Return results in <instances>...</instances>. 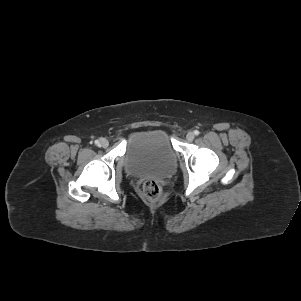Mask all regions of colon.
<instances>
[{
  "instance_id": "5ec220e1",
  "label": "colon",
  "mask_w": 301,
  "mask_h": 301,
  "mask_svg": "<svg viewBox=\"0 0 301 301\" xmlns=\"http://www.w3.org/2000/svg\"><path fill=\"white\" fill-rule=\"evenodd\" d=\"M143 194L145 197L153 202H158L163 197V188L155 180H147L142 186Z\"/></svg>"
}]
</instances>
